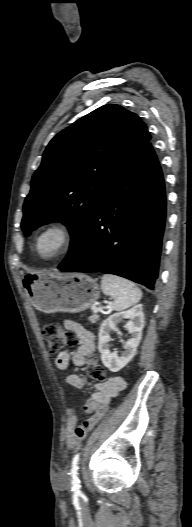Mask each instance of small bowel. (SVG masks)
<instances>
[{
	"label": "small bowel",
	"mask_w": 192,
	"mask_h": 527,
	"mask_svg": "<svg viewBox=\"0 0 192 527\" xmlns=\"http://www.w3.org/2000/svg\"><path fill=\"white\" fill-rule=\"evenodd\" d=\"M64 325L73 331L78 337L77 349L70 353L60 352L55 358L56 367L60 370H67L70 366L82 367L87 356L95 350L93 333L74 320H66ZM66 383L77 390H84L87 386L85 377L77 374H69ZM126 386V382L121 377L110 378L107 381L96 385L95 391L89 399L79 406V410L84 415H94L79 423L77 410L70 408L67 410V421L65 428V443L67 447L77 446L87 435L88 431L99 421L102 412L108 406L110 400L117 396Z\"/></svg>",
	"instance_id": "obj_1"
}]
</instances>
